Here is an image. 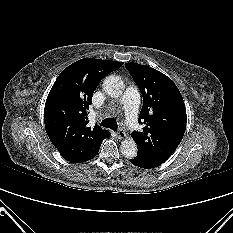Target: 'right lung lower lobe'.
<instances>
[{"label":"right lung lower lobe","instance_id":"obj_1","mask_svg":"<svg viewBox=\"0 0 233 233\" xmlns=\"http://www.w3.org/2000/svg\"><path fill=\"white\" fill-rule=\"evenodd\" d=\"M109 137H110V136H109ZM97 153H98V152H97ZM97 153H96L93 157H95V156L97 155ZM93 157H92V158H93ZM92 158H90V159H92ZM90 159H89V160H90Z\"/></svg>","mask_w":233,"mask_h":233}]
</instances>
